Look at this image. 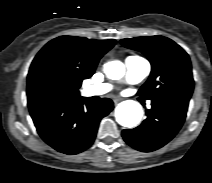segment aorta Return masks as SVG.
I'll return each instance as SVG.
<instances>
[{
  "label": "aorta",
  "instance_id": "obj_1",
  "mask_svg": "<svg viewBox=\"0 0 212 183\" xmlns=\"http://www.w3.org/2000/svg\"><path fill=\"white\" fill-rule=\"evenodd\" d=\"M104 72L108 78L118 80L124 76L125 66L121 61H110L104 65ZM142 116L143 110L141 105L133 100L120 103L115 110L117 122L127 128L137 126Z\"/></svg>",
  "mask_w": 212,
  "mask_h": 183
}]
</instances>
